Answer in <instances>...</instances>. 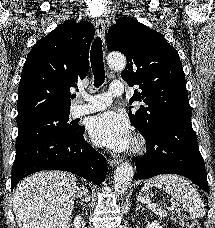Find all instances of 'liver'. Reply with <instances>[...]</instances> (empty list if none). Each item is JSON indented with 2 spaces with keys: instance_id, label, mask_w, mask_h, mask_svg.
Segmentation results:
<instances>
[{
  "instance_id": "1",
  "label": "liver",
  "mask_w": 215,
  "mask_h": 228,
  "mask_svg": "<svg viewBox=\"0 0 215 228\" xmlns=\"http://www.w3.org/2000/svg\"><path fill=\"white\" fill-rule=\"evenodd\" d=\"M77 180L69 172H36L12 192L18 228H69Z\"/></svg>"
}]
</instances>
